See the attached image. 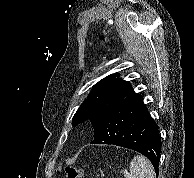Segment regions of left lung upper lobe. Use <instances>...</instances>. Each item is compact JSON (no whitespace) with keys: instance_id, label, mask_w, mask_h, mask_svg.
Here are the masks:
<instances>
[{"instance_id":"1","label":"left lung upper lobe","mask_w":194,"mask_h":178,"mask_svg":"<svg viewBox=\"0 0 194 178\" xmlns=\"http://www.w3.org/2000/svg\"><path fill=\"white\" fill-rule=\"evenodd\" d=\"M136 94L131 84L109 75L93 86L87 99L73 116V126L90 120L95 128L99 121L113 110L122 100Z\"/></svg>"}]
</instances>
